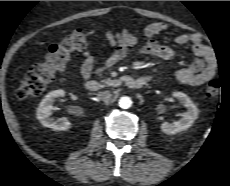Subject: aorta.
<instances>
[{
	"instance_id": "aorta-1",
	"label": "aorta",
	"mask_w": 230,
	"mask_h": 186,
	"mask_svg": "<svg viewBox=\"0 0 230 186\" xmlns=\"http://www.w3.org/2000/svg\"><path fill=\"white\" fill-rule=\"evenodd\" d=\"M119 106L123 109H128L132 106V100L130 97L124 96L119 99Z\"/></svg>"
}]
</instances>
